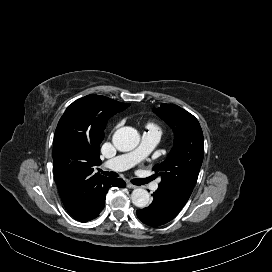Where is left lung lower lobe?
I'll list each match as a JSON object with an SVG mask.
<instances>
[{"label":"left lung lower lobe","mask_w":272,"mask_h":272,"mask_svg":"<svg viewBox=\"0 0 272 272\" xmlns=\"http://www.w3.org/2000/svg\"><path fill=\"white\" fill-rule=\"evenodd\" d=\"M153 198L147 208L136 211L138 218L149 226H160L171 221L184 207L158 190L153 193Z\"/></svg>","instance_id":"obj_1"}]
</instances>
